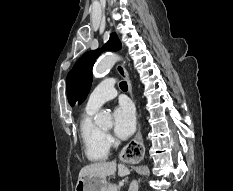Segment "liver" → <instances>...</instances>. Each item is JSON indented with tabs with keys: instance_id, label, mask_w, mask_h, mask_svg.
<instances>
[{
	"instance_id": "1",
	"label": "liver",
	"mask_w": 233,
	"mask_h": 191,
	"mask_svg": "<svg viewBox=\"0 0 233 191\" xmlns=\"http://www.w3.org/2000/svg\"><path fill=\"white\" fill-rule=\"evenodd\" d=\"M117 170L116 162H98L87 165L80 170L79 178L84 176L107 177L115 174ZM118 174L120 177L130 174V170L124 165H118Z\"/></svg>"
}]
</instances>
